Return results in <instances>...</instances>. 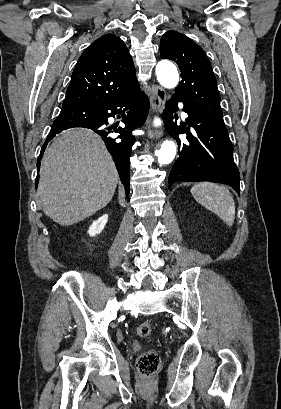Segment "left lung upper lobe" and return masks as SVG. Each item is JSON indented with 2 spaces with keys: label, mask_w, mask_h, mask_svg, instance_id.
Here are the masks:
<instances>
[{
  "label": "left lung upper lobe",
  "mask_w": 281,
  "mask_h": 409,
  "mask_svg": "<svg viewBox=\"0 0 281 409\" xmlns=\"http://www.w3.org/2000/svg\"><path fill=\"white\" fill-rule=\"evenodd\" d=\"M161 58L175 61L182 80L175 95L206 115L223 121L220 95L211 64L204 51L184 34L171 30L160 41Z\"/></svg>",
  "instance_id": "1"
}]
</instances>
